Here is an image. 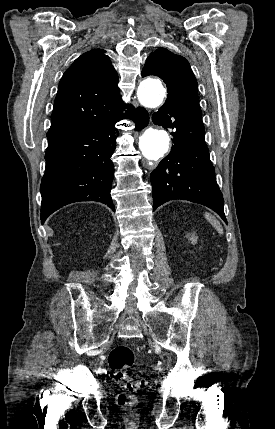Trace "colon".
<instances>
[{"label": "colon", "mask_w": 275, "mask_h": 429, "mask_svg": "<svg viewBox=\"0 0 275 429\" xmlns=\"http://www.w3.org/2000/svg\"><path fill=\"white\" fill-rule=\"evenodd\" d=\"M108 364L115 380L122 383L124 391L117 396L118 404L132 405L136 401L135 393L145 385L141 379H132L127 370L136 364V358L132 349L126 345L114 347L108 355Z\"/></svg>", "instance_id": "5ec220e1"}]
</instances>
